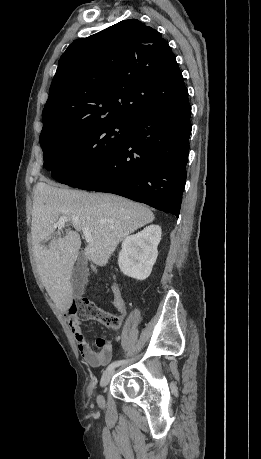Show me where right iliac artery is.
<instances>
[{
  "instance_id": "82829eb1",
  "label": "right iliac artery",
  "mask_w": 261,
  "mask_h": 459,
  "mask_svg": "<svg viewBox=\"0 0 261 459\" xmlns=\"http://www.w3.org/2000/svg\"><path fill=\"white\" fill-rule=\"evenodd\" d=\"M125 362H127V361H124V360L115 361V362L111 363V364L107 367V370H112V369H114L115 367H117V366H119V365H121V364H123V363H125Z\"/></svg>"
}]
</instances>
